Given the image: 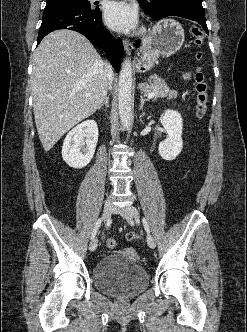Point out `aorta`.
<instances>
[{
	"label": "aorta",
	"mask_w": 247,
	"mask_h": 332,
	"mask_svg": "<svg viewBox=\"0 0 247 332\" xmlns=\"http://www.w3.org/2000/svg\"><path fill=\"white\" fill-rule=\"evenodd\" d=\"M132 80L131 59L127 58L121 66L118 82L119 117L124 128H128L131 123Z\"/></svg>",
	"instance_id": "1"
}]
</instances>
